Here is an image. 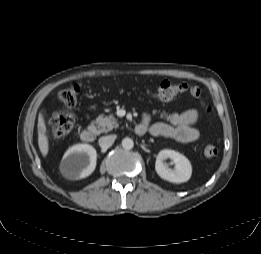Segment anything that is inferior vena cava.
Returning <instances> with one entry per match:
<instances>
[{
    "instance_id": "1",
    "label": "inferior vena cava",
    "mask_w": 261,
    "mask_h": 254,
    "mask_svg": "<svg viewBox=\"0 0 261 254\" xmlns=\"http://www.w3.org/2000/svg\"><path fill=\"white\" fill-rule=\"evenodd\" d=\"M115 135H107L99 138V145L102 149H108L114 143Z\"/></svg>"
}]
</instances>
